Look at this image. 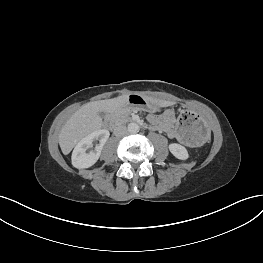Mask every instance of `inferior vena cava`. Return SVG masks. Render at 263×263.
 Masks as SVG:
<instances>
[{
  "label": "inferior vena cava",
  "instance_id": "inferior-vena-cava-1",
  "mask_svg": "<svg viewBox=\"0 0 263 263\" xmlns=\"http://www.w3.org/2000/svg\"><path fill=\"white\" fill-rule=\"evenodd\" d=\"M127 134V128L123 125L117 126L114 129V135L117 137H123Z\"/></svg>",
  "mask_w": 263,
  "mask_h": 263
}]
</instances>
